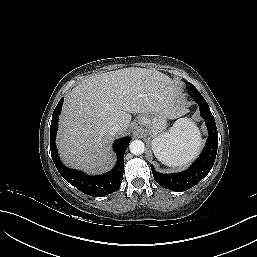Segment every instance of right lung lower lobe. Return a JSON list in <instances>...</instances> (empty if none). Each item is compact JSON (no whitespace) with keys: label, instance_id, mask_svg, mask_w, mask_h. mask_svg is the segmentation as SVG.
<instances>
[{"label":"right lung lower lobe","instance_id":"obj_1","mask_svg":"<svg viewBox=\"0 0 257 257\" xmlns=\"http://www.w3.org/2000/svg\"><path fill=\"white\" fill-rule=\"evenodd\" d=\"M62 104L63 98L59 101L53 112L50 126L51 156L57 170L67 182L90 196L101 197L118 190L123 178L124 153L131 138L124 137L114 142L113 148L117 154L118 160L114 169L108 173L99 176H88L81 171L69 169L61 163L55 144L58 118L61 113Z\"/></svg>","mask_w":257,"mask_h":257}]
</instances>
